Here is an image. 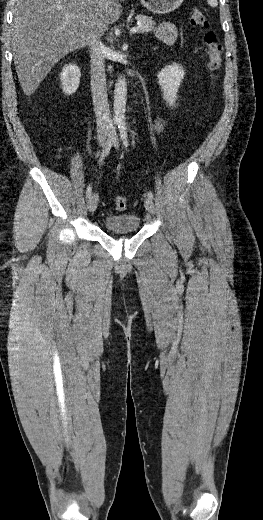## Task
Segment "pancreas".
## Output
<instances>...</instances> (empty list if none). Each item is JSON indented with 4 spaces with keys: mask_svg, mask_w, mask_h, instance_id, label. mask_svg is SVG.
<instances>
[{
    "mask_svg": "<svg viewBox=\"0 0 263 520\" xmlns=\"http://www.w3.org/2000/svg\"><path fill=\"white\" fill-rule=\"evenodd\" d=\"M136 20L140 22L138 24L139 33L150 32L154 29L155 22L153 21L152 17L146 15H137Z\"/></svg>",
    "mask_w": 263,
    "mask_h": 520,
    "instance_id": "obj_1",
    "label": "pancreas"
}]
</instances>
